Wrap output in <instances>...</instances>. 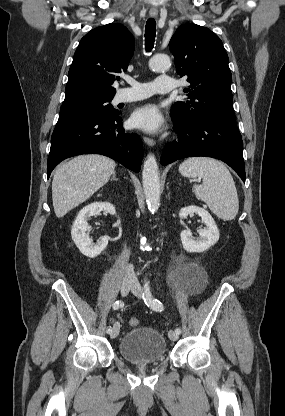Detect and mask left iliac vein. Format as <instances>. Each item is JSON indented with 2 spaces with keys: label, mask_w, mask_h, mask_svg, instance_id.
Instances as JSON below:
<instances>
[{
  "label": "left iliac vein",
  "mask_w": 285,
  "mask_h": 416,
  "mask_svg": "<svg viewBox=\"0 0 285 416\" xmlns=\"http://www.w3.org/2000/svg\"><path fill=\"white\" fill-rule=\"evenodd\" d=\"M131 291L139 298L143 297L144 291L143 288L141 287L140 283L138 281L134 282V285L131 287ZM169 338L172 341H176L179 336L176 332H174L173 330H170L168 332Z\"/></svg>",
  "instance_id": "1"
}]
</instances>
